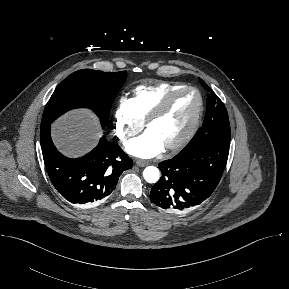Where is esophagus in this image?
I'll list each match as a JSON object with an SVG mask.
<instances>
[{
  "mask_svg": "<svg viewBox=\"0 0 289 289\" xmlns=\"http://www.w3.org/2000/svg\"><path fill=\"white\" fill-rule=\"evenodd\" d=\"M136 164H137L139 167H144V166H147V165H148V162H147V161H144V160L137 159V160H136Z\"/></svg>",
  "mask_w": 289,
  "mask_h": 289,
  "instance_id": "34e87169",
  "label": "esophagus"
}]
</instances>
